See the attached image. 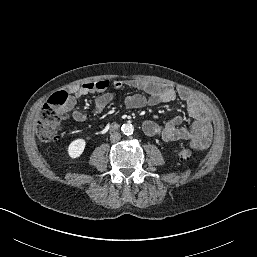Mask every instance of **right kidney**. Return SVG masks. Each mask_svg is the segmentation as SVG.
Wrapping results in <instances>:
<instances>
[{"instance_id":"ca27d5eb","label":"right kidney","mask_w":257,"mask_h":257,"mask_svg":"<svg viewBox=\"0 0 257 257\" xmlns=\"http://www.w3.org/2000/svg\"><path fill=\"white\" fill-rule=\"evenodd\" d=\"M86 141L82 138L76 139L68 146V154L71 158H78L84 151Z\"/></svg>"}]
</instances>
